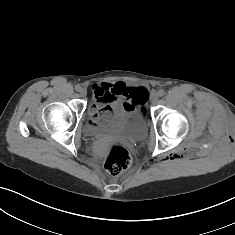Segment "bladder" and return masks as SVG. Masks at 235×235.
I'll return each instance as SVG.
<instances>
[{
    "instance_id": "31cf9c89",
    "label": "bladder",
    "mask_w": 235,
    "mask_h": 235,
    "mask_svg": "<svg viewBox=\"0 0 235 235\" xmlns=\"http://www.w3.org/2000/svg\"><path fill=\"white\" fill-rule=\"evenodd\" d=\"M84 131L91 137L113 134L129 140H141L146 135L147 124L139 108L132 110L117 108L111 118L106 121L87 120Z\"/></svg>"
}]
</instances>
